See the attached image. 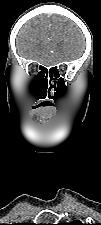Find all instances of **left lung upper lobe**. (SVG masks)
Masks as SVG:
<instances>
[{
  "instance_id": "1",
  "label": "left lung upper lobe",
  "mask_w": 101,
  "mask_h": 225,
  "mask_svg": "<svg viewBox=\"0 0 101 225\" xmlns=\"http://www.w3.org/2000/svg\"><path fill=\"white\" fill-rule=\"evenodd\" d=\"M64 225H85V224H83L81 221H79V220H75V221H73V222H71V223H69V224H64Z\"/></svg>"
}]
</instances>
